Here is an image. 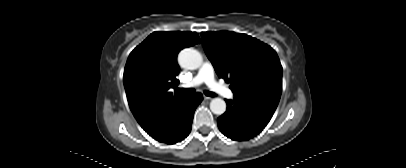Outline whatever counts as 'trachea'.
Listing matches in <instances>:
<instances>
[{"label": "trachea", "instance_id": "3493384b", "mask_svg": "<svg viewBox=\"0 0 406 168\" xmlns=\"http://www.w3.org/2000/svg\"><path fill=\"white\" fill-rule=\"evenodd\" d=\"M177 90L184 95H191V94H194V92H195V89H193V88H189V89L183 88V89H177ZM204 93L206 96H209V97L217 96L215 93L210 92V91H204Z\"/></svg>", "mask_w": 406, "mask_h": 168}]
</instances>
